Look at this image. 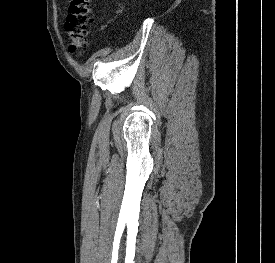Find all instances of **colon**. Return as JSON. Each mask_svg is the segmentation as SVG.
Instances as JSON below:
<instances>
[{"label":"colon","instance_id":"obj_1","mask_svg":"<svg viewBox=\"0 0 275 263\" xmlns=\"http://www.w3.org/2000/svg\"><path fill=\"white\" fill-rule=\"evenodd\" d=\"M92 14L91 0H71L65 23L70 53L80 55L87 49Z\"/></svg>","mask_w":275,"mask_h":263}]
</instances>
